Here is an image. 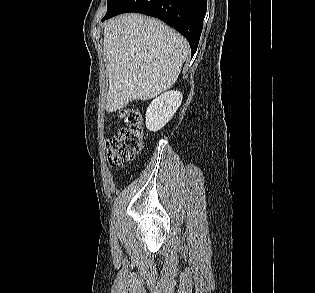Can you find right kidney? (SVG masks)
<instances>
[{
    "label": "right kidney",
    "instance_id": "1",
    "mask_svg": "<svg viewBox=\"0 0 315 293\" xmlns=\"http://www.w3.org/2000/svg\"><path fill=\"white\" fill-rule=\"evenodd\" d=\"M182 99L179 91H167L155 98L146 111V128L156 132L164 127L178 110Z\"/></svg>",
    "mask_w": 315,
    "mask_h": 293
}]
</instances>
